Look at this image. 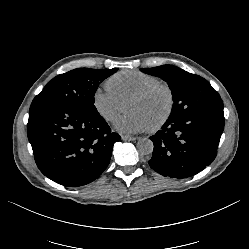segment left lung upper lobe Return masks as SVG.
Wrapping results in <instances>:
<instances>
[{
    "instance_id": "obj_1",
    "label": "left lung upper lobe",
    "mask_w": 249,
    "mask_h": 249,
    "mask_svg": "<svg viewBox=\"0 0 249 249\" xmlns=\"http://www.w3.org/2000/svg\"><path fill=\"white\" fill-rule=\"evenodd\" d=\"M141 71L160 77L168 83L174 102L169 119L181 118L186 114L204 110L223 109L219 94L208 81L198 75L173 65L142 68Z\"/></svg>"
}]
</instances>
